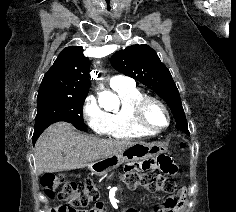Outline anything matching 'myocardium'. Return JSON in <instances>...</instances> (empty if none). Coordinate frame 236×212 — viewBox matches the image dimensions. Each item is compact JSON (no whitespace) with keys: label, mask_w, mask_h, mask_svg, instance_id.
Here are the masks:
<instances>
[{"label":"myocardium","mask_w":236,"mask_h":212,"mask_svg":"<svg viewBox=\"0 0 236 212\" xmlns=\"http://www.w3.org/2000/svg\"><path fill=\"white\" fill-rule=\"evenodd\" d=\"M151 105H157L163 110L166 116V124L164 126L156 127L148 120V109ZM133 113L135 123L140 128L153 134L164 131L171 123V115L166 104L162 100L153 96L144 95L142 98H140L134 105Z\"/></svg>","instance_id":"f54148a6"}]
</instances>
